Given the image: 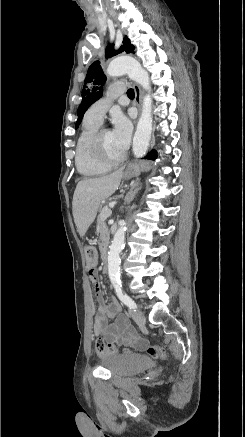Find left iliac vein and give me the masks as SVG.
Returning a JSON list of instances; mask_svg holds the SVG:
<instances>
[{
	"mask_svg": "<svg viewBox=\"0 0 245 437\" xmlns=\"http://www.w3.org/2000/svg\"><path fill=\"white\" fill-rule=\"evenodd\" d=\"M130 315L132 316V318L134 319V321L138 324V325H143L145 323V317L142 313L138 312L135 309H130Z\"/></svg>",
	"mask_w": 245,
	"mask_h": 437,
	"instance_id": "4c4485c4",
	"label": "left iliac vein"
}]
</instances>
